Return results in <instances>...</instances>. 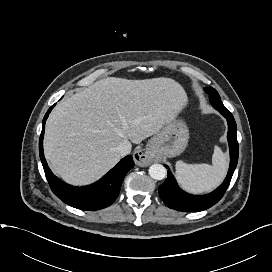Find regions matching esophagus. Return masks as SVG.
<instances>
[{
    "instance_id": "esophagus-1",
    "label": "esophagus",
    "mask_w": 272,
    "mask_h": 272,
    "mask_svg": "<svg viewBox=\"0 0 272 272\" xmlns=\"http://www.w3.org/2000/svg\"><path fill=\"white\" fill-rule=\"evenodd\" d=\"M133 157L138 166L144 167L151 163L150 155L141 150L135 151Z\"/></svg>"
}]
</instances>
